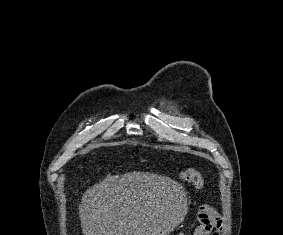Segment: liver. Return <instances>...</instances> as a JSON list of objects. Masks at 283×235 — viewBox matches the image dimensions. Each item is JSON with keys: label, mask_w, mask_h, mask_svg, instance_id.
<instances>
[{"label": "liver", "mask_w": 283, "mask_h": 235, "mask_svg": "<svg viewBox=\"0 0 283 235\" xmlns=\"http://www.w3.org/2000/svg\"><path fill=\"white\" fill-rule=\"evenodd\" d=\"M181 184L149 172L107 175L79 205L84 235H167L181 221Z\"/></svg>", "instance_id": "obj_1"}]
</instances>
